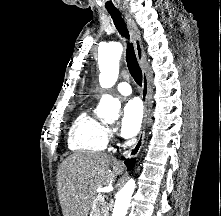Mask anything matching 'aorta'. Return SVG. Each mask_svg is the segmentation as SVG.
<instances>
[{
    "mask_svg": "<svg viewBox=\"0 0 221 216\" xmlns=\"http://www.w3.org/2000/svg\"><path fill=\"white\" fill-rule=\"evenodd\" d=\"M123 47L119 42H110L99 49V82L102 87L113 86L119 75V60ZM99 118L106 120L117 119L120 113V102L110 95H103L97 107ZM136 184L130 179L116 194L112 216H125Z\"/></svg>",
    "mask_w": 221,
    "mask_h": 216,
    "instance_id": "762f6f07",
    "label": "aorta"
}]
</instances>
